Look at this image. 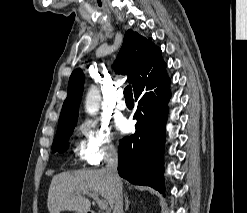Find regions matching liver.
<instances>
[{
  "mask_svg": "<svg viewBox=\"0 0 247 213\" xmlns=\"http://www.w3.org/2000/svg\"><path fill=\"white\" fill-rule=\"evenodd\" d=\"M114 183L106 169L77 170L53 176L48 191L47 206L50 213L77 211L87 213L91 201L84 195L99 194L112 208L114 206Z\"/></svg>",
  "mask_w": 247,
  "mask_h": 213,
  "instance_id": "6515ba94",
  "label": "liver"
}]
</instances>
